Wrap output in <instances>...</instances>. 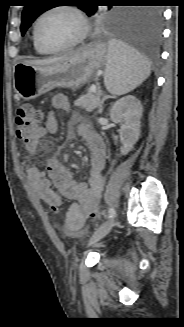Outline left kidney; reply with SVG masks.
<instances>
[{
	"instance_id": "5707ae66",
	"label": "left kidney",
	"mask_w": 184,
	"mask_h": 327,
	"mask_svg": "<svg viewBox=\"0 0 184 327\" xmlns=\"http://www.w3.org/2000/svg\"><path fill=\"white\" fill-rule=\"evenodd\" d=\"M143 113L141 102L134 96L128 95L116 101L110 110V118L119 123L121 154L126 155L132 149L140 136V120Z\"/></svg>"
}]
</instances>
